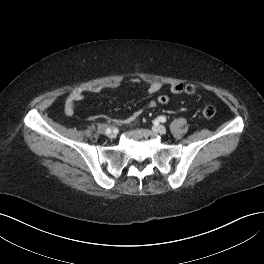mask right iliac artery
Wrapping results in <instances>:
<instances>
[{"label": "right iliac artery", "mask_w": 264, "mask_h": 264, "mask_svg": "<svg viewBox=\"0 0 264 264\" xmlns=\"http://www.w3.org/2000/svg\"><path fill=\"white\" fill-rule=\"evenodd\" d=\"M105 132L108 134V133L111 132V129H110V128H106V129H105Z\"/></svg>", "instance_id": "82829eb1"}]
</instances>
